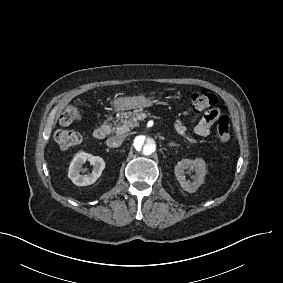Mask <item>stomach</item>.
I'll list each match as a JSON object with an SVG mask.
<instances>
[{
    "instance_id": "stomach-1",
    "label": "stomach",
    "mask_w": 283,
    "mask_h": 283,
    "mask_svg": "<svg viewBox=\"0 0 283 283\" xmlns=\"http://www.w3.org/2000/svg\"><path fill=\"white\" fill-rule=\"evenodd\" d=\"M163 92H150L148 96H121L112 99L111 104L116 113L128 111L136 108H146L153 106L154 102L161 98Z\"/></svg>"
}]
</instances>
